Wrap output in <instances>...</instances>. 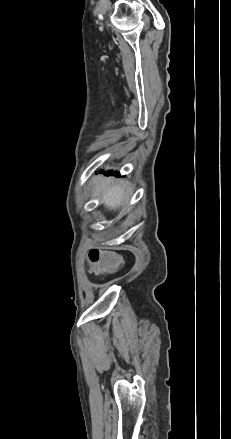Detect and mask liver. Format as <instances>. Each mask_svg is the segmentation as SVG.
<instances>
[{"label": "liver", "mask_w": 231, "mask_h": 439, "mask_svg": "<svg viewBox=\"0 0 231 439\" xmlns=\"http://www.w3.org/2000/svg\"><path fill=\"white\" fill-rule=\"evenodd\" d=\"M103 203L110 209L118 208L124 200V192L120 185L111 183V179H103L98 187Z\"/></svg>", "instance_id": "liver-1"}]
</instances>
